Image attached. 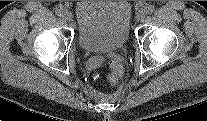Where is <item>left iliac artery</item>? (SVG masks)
I'll use <instances>...</instances> for the list:
<instances>
[{
    "label": "left iliac artery",
    "instance_id": "44dca946",
    "mask_svg": "<svg viewBox=\"0 0 207 121\" xmlns=\"http://www.w3.org/2000/svg\"><path fill=\"white\" fill-rule=\"evenodd\" d=\"M144 11L146 14H151L154 11V6L148 5L145 7Z\"/></svg>",
    "mask_w": 207,
    "mask_h": 121
}]
</instances>
